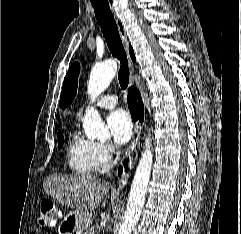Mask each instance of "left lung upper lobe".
<instances>
[{
    "label": "left lung upper lobe",
    "mask_w": 241,
    "mask_h": 234,
    "mask_svg": "<svg viewBox=\"0 0 241 234\" xmlns=\"http://www.w3.org/2000/svg\"><path fill=\"white\" fill-rule=\"evenodd\" d=\"M80 71V65L78 63L72 64L63 83V88L60 97V106L65 108L68 106L77 92V79Z\"/></svg>",
    "instance_id": "obj_1"
}]
</instances>
